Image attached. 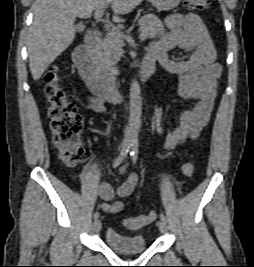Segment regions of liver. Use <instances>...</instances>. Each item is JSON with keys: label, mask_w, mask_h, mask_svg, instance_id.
I'll list each match as a JSON object with an SVG mask.
<instances>
[{"label": "liver", "mask_w": 254, "mask_h": 267, "mask_svg": "<svg viewBox=\"0 0 254 267\" xmlns=\"http://www.w3.org/2000/svg\"><path fill=\"white\" fill-rule=\"evenodd\" d=\"M144 0H35L33 22L29 30L27 50L29 67L35 81L47 67L73 42L77 17L90 18L96 9L111 5L113 21L130 13Z\"/></svg>", "instance_id": "6515ba94"}]
</instances>
